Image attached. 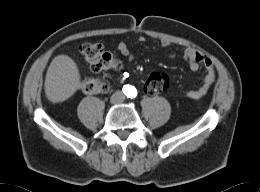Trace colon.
Masks as SVG:
<instances>
[{
    "label": "colon",
    "mask_w": 260,
    "mask_h": 192,
    "mask_svg": "<svg viewBox=\"0 0 260 192\" xmlns=\"http://www.w3.org/2000/svg\"><path fill=\"white\" fill-rule=\"evenodd\" d=\"M80 52L94 72H101L107 69H119L121 61L113 54L107 52L99 43H85L80 46ZM170 87V79L166 74L154 72L145 82L144 90L150 95L166 92ZM81 88L87 94L104 93L109 86L101 78H83Z\"/></svg>",
    "instance_id": "1"
}]
</instances>
